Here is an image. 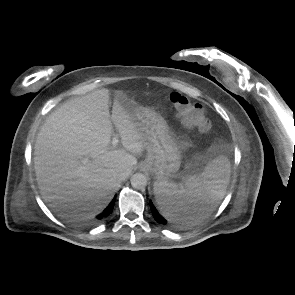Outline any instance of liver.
I'll use <instances>...</instances> for the list:
<instances>
[{
  "label": "liver",
  "mask_w": 295,
  "mask_h": 295,
  "mask_svg": "<svg viewBox=\"0 0 295 295\" xmlns=\"http://www.w3.org/2000/svg\"><path fill=\"white\" fill-rule=\"evenodd\" d=\"M113 124L122 148L110 144ZM145 148L120 93L112 115L108 89L68 100L45 121L35 142L34 168L42 197L54 208H69L70 214L60 213L66 219L92 218L109 204L122 181L119 175L129 176Z\"/></svg>",
  "instance_id": "liver-1"
}]
</instances>
